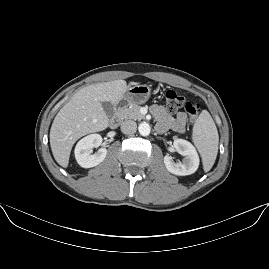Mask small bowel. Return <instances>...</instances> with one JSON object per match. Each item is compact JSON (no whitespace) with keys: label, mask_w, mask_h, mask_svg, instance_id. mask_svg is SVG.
I'll return each mask as SVG.
<instances>
[{"label":"small bowel","mask_w":269,"mask_h":269,"mask_svg":"<svg viewBox=\"0 0 269 269\" xmlns=\"http://www.w3.org/2000/svg\"><path fill=\"white\" fill-rule=\"evenodd\" d=\"M151 113L158 121L156 130L159 133L171 128L176 132H184L186 128L187 116L184 112H179L174 118H172L161 105H153L151 107Z\"/></svg>","instance_id":"small-bowel-1"}]
</instances>
